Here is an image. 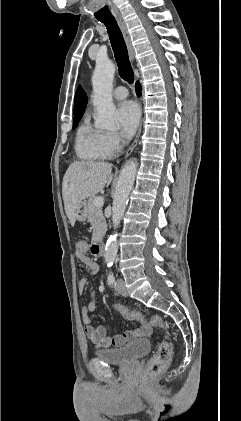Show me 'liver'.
I'll list each match as a JSON object with an SVG mask.
<instances>
[{
    "instance_id": "1",
    "label": "liver",
    "mask_w": 241,
    "mask_h": 421,
    "mask_svg": "<svg viewBox=\"0 0 241 421\" xmlns=\"http://www.w3.org/2000/svg\"><path fill=\"white\" fill-rule=\"evenodd\" d=\"M112 164L108 162H73L62 183V196L69 222L74 226L76 210L88 197H94L112 181Z\"/></svg>"
}]
</instances>
